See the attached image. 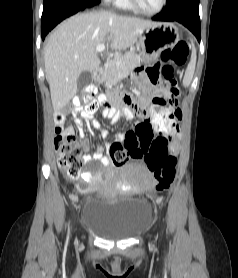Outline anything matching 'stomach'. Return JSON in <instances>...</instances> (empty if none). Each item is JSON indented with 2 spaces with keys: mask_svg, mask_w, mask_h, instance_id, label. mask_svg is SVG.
Masks as SVG:
<instances>
[{
  "mask_svg": "<svg viewBox=\"0 0 238 278\" xmlns=\"http://www.w3.org/2000/svg\"><path fill=\"white\" fill-rule=\"evenodd\" d=\"M179 41L178 28L172 23L156 22L144 29L139 37L142 61L150 64L151 59H158L160 53L174 46ZM105 78L99 79L103 82Z\"/></svg>",
  "mask_w": 238,
  "mask_h": 278,
  "instance_id": "0dacf381",
  "label": "stomach"
}]
</instances>
